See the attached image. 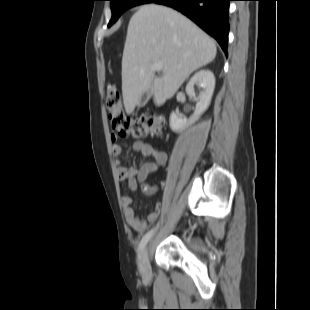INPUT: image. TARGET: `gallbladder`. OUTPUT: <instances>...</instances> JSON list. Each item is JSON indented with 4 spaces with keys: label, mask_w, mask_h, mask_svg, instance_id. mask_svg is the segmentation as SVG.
<instances>
[{
    "label": "gallbladder",
    "mask_w": 310,
    "mask_h": 310,
    "mask_svg": "<svg viewBox=\"0 0 310 310\" xmlns=\"http://www.w3.org/2000/svg\"><path fill=\"white\" fill-rule=\"evenodd\" d=\"M150 97H151V93L150 92L142 93L141 96L138 99L137 107L138 108L144 107L147 104V102L149 101Z\"/></svg>",
    "instance_id": "1"
}]
</instances>
